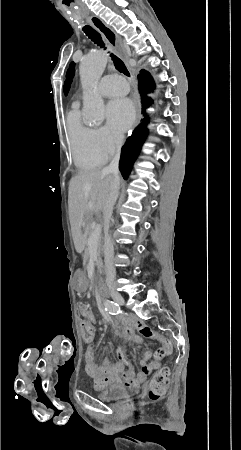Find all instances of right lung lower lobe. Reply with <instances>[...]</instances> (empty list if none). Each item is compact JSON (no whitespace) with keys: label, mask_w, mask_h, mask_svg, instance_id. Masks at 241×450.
<instances>
[{"label":"right lung lower lobe","mask_w":241,"mask_h":450,"mask_svg":"<svg viewBox=\"0 0 241 450\" xmlns=\"http://www.w3.org/2000/svg\"><path fill=\"white\" fill-rule=\"evenodd\" d=\"M139 80V92L141 95L142 113L145 116L138 127L133 131L132 135L127 139L125 145L122 148L121 158L119 162V169L124 179H127L133 164L139 155L141 147L148 135L146 128L149 118L145 112V109L149 107L153 100L146 96L147 93L153 92L155 88L154 81L147 71L141 70L138 75Z\"/></svg>","instance_id":"right-lung-lower-lobe-1"}]
</instances>
